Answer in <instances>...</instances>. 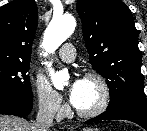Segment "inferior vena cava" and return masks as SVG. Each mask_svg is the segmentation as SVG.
<instances>
[{"mask_svg": "<svg viewBox=\"0 0 147 131\" xmlns=\"http://www.w3.org/2000/svg\"><path fill=\"white\" fill-rule=\"evenodd\" d=\"M56 106L52 102L39 104L35 126L37 131H49L53 124Z\"/></svg>", "mask_w": 147, "mask_h": 131, "instance_id": "602c4592", "label": "inferior vena cava"}]
</instances>
